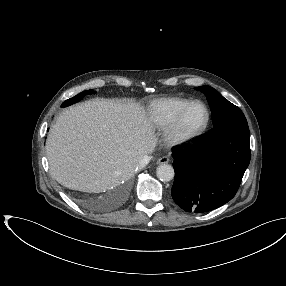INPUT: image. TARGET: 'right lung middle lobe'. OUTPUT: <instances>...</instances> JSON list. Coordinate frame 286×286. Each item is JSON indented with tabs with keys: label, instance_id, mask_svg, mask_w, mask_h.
<instances>
[{
	"label": "right lung middle lobe",
	"instance_id": "obj_1",
	"mask_svg": "<svg viewBox=\"0 0 286 286\" xmlns=\"http://www.w3.org/2000/svg\"><path fill=\"white\" fill-rule=\"evenodd\" d=\"M95 93L94 90H87V91H83L81 93H79L78 95L74 96L73 98H70L66 101H64L61 105V107H66L69 105H72L74 103H77L78 101L82 100L84 96L89 95V94H93Z\"/></svg>",
	"mask_w": 286,
	"mask_h": 286
}]
</instances>
